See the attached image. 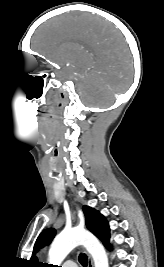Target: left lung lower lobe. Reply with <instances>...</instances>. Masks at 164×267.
<instances>
[{
    "label": "left lung lower lobe",
    "instance_id": "0a47b994",
    "mask_svg": "<svg viewBox=\"0 0 164 267\" xmlns=\"http://www.w3.org/2000/svg\"><path fill=\"white\" fill-rule=\"evenodd\" d=\"M109 238H110V235H109L105 240L102 241L103 244H104V246H105L108 250L111 249V244H110V242H109Z\"/></svg>",
    "mask_w": 164,
    "mask_h": 267
}]
</instances>
